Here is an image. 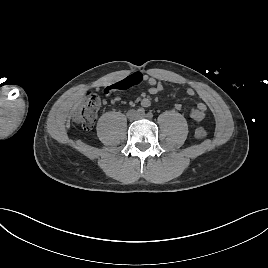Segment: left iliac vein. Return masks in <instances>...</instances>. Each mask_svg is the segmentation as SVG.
<instances>
[{
    "mask_svg": "<svg viewBox=\"0 0 268 268\" xmlns=\"http://www.w3.org/2000/svg\"><path fill=\"white\" fill-rule=\"evenodd\" d=\"M145 117H147V115H145V114L138 115V118H145Z\"/></svg>",
    "mask_w": 268,
    "mask_h": 268,
    "instance_id": "1",
    "label": "left iliac vein"
}]
</instances>
